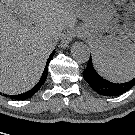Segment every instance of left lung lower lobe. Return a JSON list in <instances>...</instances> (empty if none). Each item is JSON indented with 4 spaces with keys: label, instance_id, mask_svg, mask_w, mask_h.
Instances as JSON below:
<instances>
[{
    "label": "left lung lower lobe",
    "instance_id": "1",
    "mask_svg": "<svg viewBox=\"0 0 135 135\" xmlns=\"http://www.w3.org/2000/svg\"><path fill=\"white\" fill-rule=\"evenodd\" d=\"M83 77L92 89L104 96H119L135 86V78L125 83H112L103 79L95 71L91 58L83 71Z\"/></svg>",
    "mask_w": 135,
    "mask_h": 135
}]
</instances>
